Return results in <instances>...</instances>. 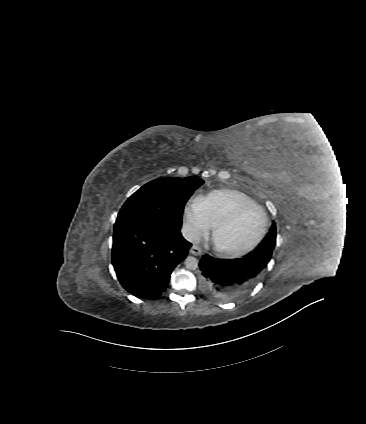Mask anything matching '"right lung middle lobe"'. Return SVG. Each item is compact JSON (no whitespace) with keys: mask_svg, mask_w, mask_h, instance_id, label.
I'll return each mask as SVG.
<instances>
[{"mask_svg":"<svg viewBox=\"0 0 366 424\" xmlns=\"http://www.w3.org/2000/svg\"><path fill=\"white\" fill-rule=\"evenodd\" d=\"M203 183L196 177L153 180L129 197L115 224L154 221L168 230H180L184 205Z\"/></svg>","mask_w":366,"mask_h":424,"instance_id":"right-lung-middle-lobe-1","label":"right lung middle lobe"}]
</instances>
